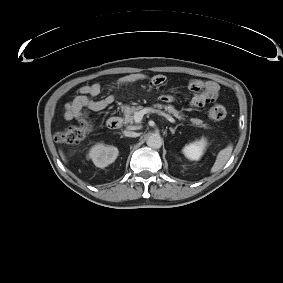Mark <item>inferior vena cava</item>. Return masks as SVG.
<instances>
[{
	"label": "inferior vena cava",
	"mask_w": 283,
	"mask_h": 283,
	"mask_svg": "<svg viewBox=\"0 0 283 283\" xmlns=\"http://www.w3.org/2000/svg\"><path fill=\"white\" fill-rule=\"evenodd\" d=\"M124 135L127 136V137H138L140 134L139 133H136L134 131H131V130H125L124 131Z\"/></svg>",
	"instance_id": "inferior-vena-cava-1"
}]
</instances>
